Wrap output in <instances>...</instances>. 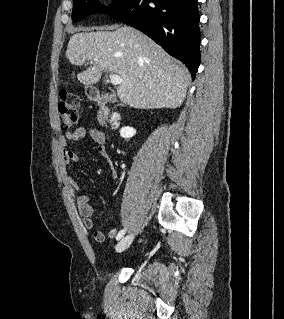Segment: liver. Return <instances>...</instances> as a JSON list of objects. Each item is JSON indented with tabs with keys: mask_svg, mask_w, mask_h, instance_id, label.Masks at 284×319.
I'll return each mask as SVG.
<instances>
[{
	"mask_svg": "<svg viewBox=\"0 0 284 319\" xmlns=\"http://www.w3.org/2000/svg\"><path fill=\"white\" fill-rule=\"evenodd\" d=\"M75 33L66 57L71 64L90 67L77 75L84 85L96 84L103 72L121 76V102L138 109L177 108L186 97L190 74L152 39L122 26L115 31ZM96 59V60H94Z\"/></svg>",
	"mask_w": 284,
	"mask_h": 319,
	"instance_id": "liver-1",
	"label": "liver"
}]
</instances>
